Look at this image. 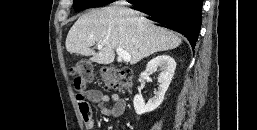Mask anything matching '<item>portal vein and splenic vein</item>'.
<instances>
[{
	"label": "portal vein and splenic vein",
	"mask_w": 257,
	"mask_h": 130,
	"mask_svg": "<svg viewBox=\"0 0 257 130\" xmlns=\"http://www.w3.org/2000/svg\"><path fill=\"white\" fill-rule=\"evenodd\" d=\"M102 48H103L102 45H98V49H99V50L102 49ZM116 52H117L118 57H119L121 60H123L124 62H130V60H131V55H130L128 52L124 51V50L121 49V48H117V49H116Z\"/></svg>",
	"instance_id": "obj_1"
}]
</instances>
